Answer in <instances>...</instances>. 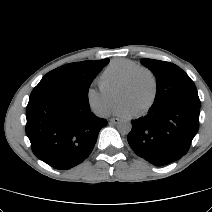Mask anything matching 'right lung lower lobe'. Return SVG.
Here are the masks:
<instances>
[{
  "label": "right lung lower lobe",
  "instance_id": "right-lung-lower-lobe-1",
  "mask_svg": "<svg viewBox=\"0 0 212 212\" xmlns=\"http://www.w3.org/2000/svg\"><path fill=\"white\" fill-rule=\"evenodd\" d=\"M26 134L36 157L59 170L84 161L107 120L95 116L89 103L64 95L31 97L26 108Z\"/></svg>",
  "mask_w": 212,
  "mask_h": 212
}]
</instances>
